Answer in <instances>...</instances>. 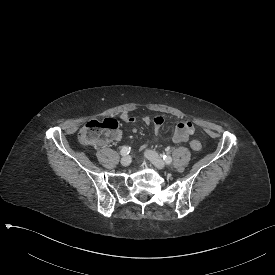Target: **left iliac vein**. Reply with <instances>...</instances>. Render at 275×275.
Instances as JSON below:
<instances>
[{"label":"left iliac vein","instance_id":"4c4485c4","mask_svg":"<svg viewBox=\"0 0 275 275\" xmlns=\"http://www.w3.org/2000/svg\"><path fill=\"white\" fill-rule=\"evenodd\" d=\"M146 158L158 169H164L165 163L161 156L153 150L147 149L145 151Z\"/></svg>","mask_w":275,"mask_h":275}]
</instances>
